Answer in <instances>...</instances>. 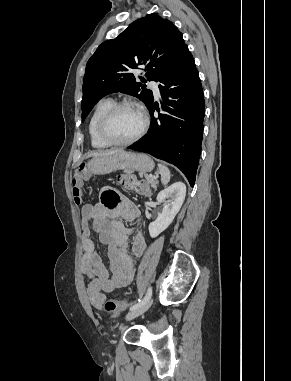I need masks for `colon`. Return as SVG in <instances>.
Wrapping results in <instances>:
<instances>
[{
    "mask_svg": "<svg viewBox=\"0 0 291 381\" xmlns=\"http://www.w3.org/2000/svg\"><path fill=\"white\" fill-rule=\"evenodd\" d=\"M83 172L84 167H80L73 172L72 176V193L77 204L81 199V187L84 180ZM122 184L127 190L134 191L139 195H147L149 193V187L142 181L123 177ZM105 202L108 205H113L117 202V199H105ZM127 306L128 303L125 300L112 298L105 303L104 308L109 313H115L125 310Z\"/></svg>",
    "mask_w": 291,
    "mask_h": 381,
    "instance_id": "5ec220e1",
    "label": "colon"
}]
</instances>
